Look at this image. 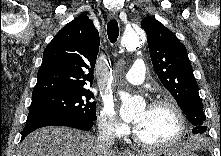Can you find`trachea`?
<instances>
[{
	"instance_id": "obj_1",
	"label": "trachea",
	"mask_w": 221,
	"mask_h": 156,
	"mask_svg": "<svg viewBox=\"0 0 221 156\" xmlns=\"http://www.w3.org/2000/svg\"><path fill=\"white\" fill-rule=\"evenodd\" d=\"M107 35L111 43L117 41L119 35L118 22L116 20H110L107 24Z\"/></svg>"
}]
</instances>
